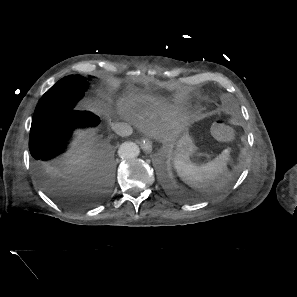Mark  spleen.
Here are the masks:
<instances>
[{
	"label": "spleen",
	"mask_w": 297,
	"mask_h": 297,
	"mask_svg": "<svg viewBox=\"0 0 297 297\" xmlns=\"http://www.w3.org/2000/svg\"><path fill=\"white\" fill-rule=\"evenodd\" d=\"M229 152V149H225L214 160L202 165H197L189 159L176 158L174 166L178 176L191 187L199 189L218 187L223 182L227 170Z\"/></svg>",
	"instance_id": "3e777b00"
}]
</instances>
